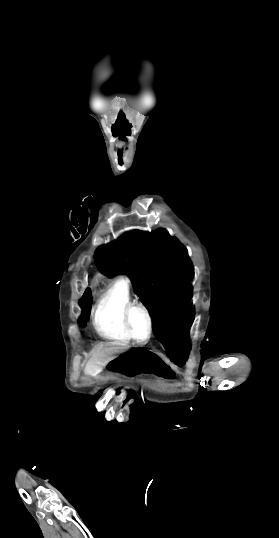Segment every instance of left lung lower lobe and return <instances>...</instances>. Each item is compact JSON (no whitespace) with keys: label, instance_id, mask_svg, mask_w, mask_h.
Instances as JSON below:
<instances>
[{"label":"left lung lower lobe","instance_id":"1","mask_svg":"<svg viewBox=\"0 0 279 538\" xmlns=\"http://www.w3.org/2000/svg\"><path fill=\"white\" fill-rule=\"evenodd\" d=\"M155 336L167 350V356L178 366L184 365L190 350L186 342L188 334L168 331L155 333Z\"/></svg>","mask_w":279,"mask_h":538}]
</instances>
